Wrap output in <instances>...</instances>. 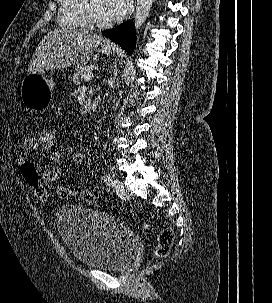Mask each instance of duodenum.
<instances>
[{"instance_id":"duodenum-1","label":"duodenum","mask_w":272,"mask_h":303,"mask_svg":"<svg viewBox=\"0 0 272 303\" xmlns=\"http://www.w3.org/2000/svg\"><path fill=\"white\" fill-rule=\"evenodd\" d=\"M98 105H99V99L98 98L92 99L91 101H89L86 104V106H85V112L87 114H90V113L94 112L97 109Z\"/></svg>"}]
</instances>
